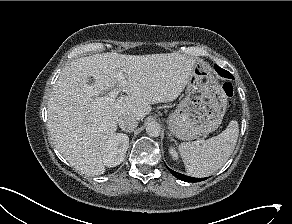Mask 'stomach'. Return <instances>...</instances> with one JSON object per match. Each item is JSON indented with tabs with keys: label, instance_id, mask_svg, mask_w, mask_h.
Instances as JSON below:
<instances>
[{
	"label": "stomach",
	"instance_id": "0dacf381",
	"mask_svg": "<svg viewBox=\"0 0 292 224\" xmlns=\"http://www.w3.org/2000/svg\"><path fill=\"white\" fill-rule=\"evenodd\" d=\"M226 107L227 96L217 78L204 62L195 61L186 97L168 118L169 129L181 140L196 139L219 127Z\"/></svg>",
	"mask_w": 292,
	"mask_h": 224
}]
</instances>
